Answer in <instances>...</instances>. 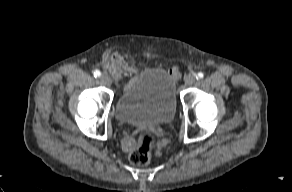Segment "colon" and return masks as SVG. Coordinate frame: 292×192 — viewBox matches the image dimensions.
I'll return each mask as SVG.
<instances>
[{"label": "colon", "instance_id": "obj_1", "mask_svg": "<svg viewBox=\"0 0 292 192\" xmlns=\"http://www.w3.org/2000/svg\"><path fill=\"white\" fill-rule=\"evenodd\" d=\"M155 139L153 133L149 130H142L138 138L137 148L130 154V162L134 166H145L149 163L153 147L151 146V141Z\"/></svg>", "mask_w": 292, "mask_h": 192}]
</instances>
